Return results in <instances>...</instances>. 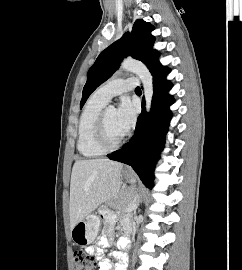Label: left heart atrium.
Segmentation results:
<instances>
[{"label":"left heart atrium","instance_id":"left-heart-atrium-1","mask_svg":"<svg viewBox=\"0 0 242 270\" xmlns=\"http://www.w3.org/2000/svg\"><path fill=\"white\" fill-rule=\"evenodd\" d=\"M137 114V106L129 98H124L118 109L117 118L122 129L127 132L135 123Z\"/></svg>","mask_w":242,"mask_h":270}]
</instances>
